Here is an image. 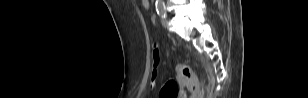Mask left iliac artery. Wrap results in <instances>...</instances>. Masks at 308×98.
<instances>
[{"label":"left iliac artery","instance_id":"left-iliac-artery-1","mask_svg":"<svg viewBox=\"0 0 308 98\" xmlns=\"http://www.w3.org/2000/svg\"><path fill=\"white\" fill-rule=\"evenodd\" d=\"M156 11H157V14L161 18H165L166 17V8H165V4L163 2L156 3Z\"/></svg>","mask_w":308,"mask_h":98}]
</instances>
